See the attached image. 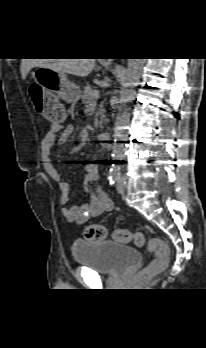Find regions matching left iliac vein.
<instances>
[{
    "label": "left iliac vein",
    "instance_id": "obj_1",
    "mask_svg": "<svg viewBox=\"0 0 206 348\" xmlns=\"http://www.w3.org/2000/svg\"><path fill=\"white\" fill-rule=\"evenodd\" d=\"M126 189V178L122 177L117 183V191L123 193Z\"/></svg>",
    "mask_w": 206,
    "mask_h": 348
}]
</instances>
